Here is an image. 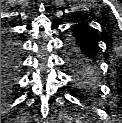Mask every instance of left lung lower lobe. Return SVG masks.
I'll return each mask as SVG.
<instances>
[{"instance_id": "0a47b994", "label": "left lung lower lobe", "mask_w": 122, "mask_h": 123, "mask_svg": "<svg viewBox=\"0 0 122 123\" xmlns=\"http://www.w3.org/2000/svg\"><path fill=\"white\" fill-rule=\"evenodd\" d=\"M97 48L92 28L84 22L78 23L72 35L67 36L65 40L64 51L68 67L79 86H88L92 71L91 64L95 61Z\"/></svg>"}]
</instances>
